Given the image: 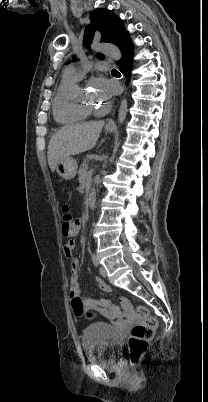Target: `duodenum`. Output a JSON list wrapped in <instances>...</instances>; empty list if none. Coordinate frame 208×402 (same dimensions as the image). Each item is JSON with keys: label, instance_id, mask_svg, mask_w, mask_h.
<instances>
[{"label": "duodenum", "instance_id": "duodenum-1", "mask_svg": "<svg viewBox=\"0 0 208 402\" xmlns=\"http://www.w3.org/2000/svg\"><path fill=\"white\" fill-rule=\"evenodd\" d=\"M87 204L89 208H93L96 204V194L94 191L90 192L87 199Z\"/></svg>", "mask_w": 208, "mask_h": 402}]
</instances>
